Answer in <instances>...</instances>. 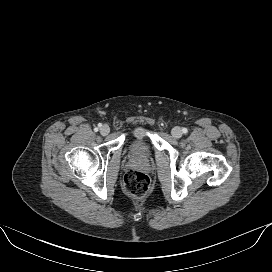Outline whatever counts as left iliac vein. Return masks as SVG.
Instances as JSON below:
<instances>
[{"mask_svg":"<svg viewBox=\"0 0 272 272\" xmlns=\"http://www.w3.org/2000/svg\"><path fill=\"white\" fill-rule=\"evenodd\" d=\"M171 134L174 138H180L182 136V130L176 126L172 129Z\"/></svg>","mask_w":272,"mask_h":272,"instance_id":"1","label":"left iliac vein"}]
</instances>
